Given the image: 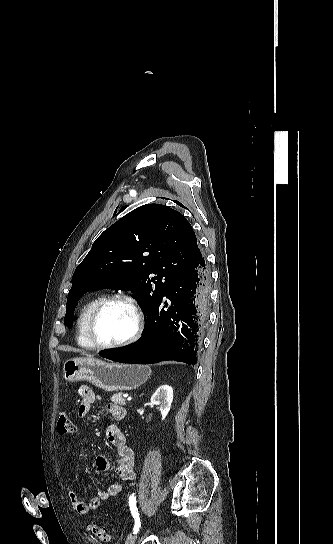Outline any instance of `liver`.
Here are the masks:
<instances>
[{"mask_svg":"<svg viewBox=\"0 0 333 544\" xmlns=\"http://www.w3.org/2000/svg\"><path fill=\"white\" fill-rule=\"evenodd\" d=\"M87 358H92L93 356L90 354H86Z\"/></svg>","mask_w":333,"mask_h":544,"instance_id":"1","label":"liver"}]
</instances>
